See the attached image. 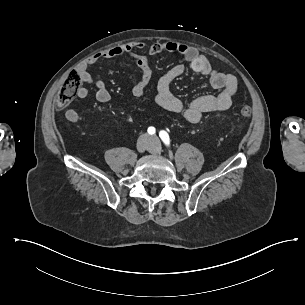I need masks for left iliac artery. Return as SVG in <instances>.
Segmentation results:
<instances>
[{"mask_svg": "<svg viewBox=\"0 0 305 305\" xmlns=\"http://www.w3.org/2000/svg\"><path fill=\"white\" fill-rule=\"evenodd\" d=\"M159 136L166 145H169V135L166 131H160Z\"/></svg>", "mask_w": 305, "mask_h": 305, "instance_id": "44dca946", "label": "left iliac artery"}]
</instances>
